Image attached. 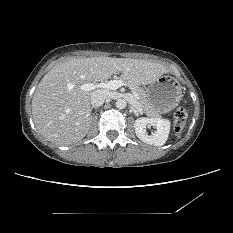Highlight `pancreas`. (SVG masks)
Wrapping results in <instances>:
<instances>
[{
  "label": "pancreas",
  "mask_w": 233,
  "mask_h": 233,
  "mask_svg": "<svg viewBox=\"0 0 233 233\" xmlns=\"http://www.w3.org/2000/svg\"><path fill=\"white\" fill-rule=\"evenodd\" d=\"M123 80V79H122ZM124 85L133 88V90L138 94L137 103L140 107L146 112L148 116L151 117H160L159 113L156 112L147 102L146 92L139 85L123 80Z\"/></svg>",
  "instance_id": "1"
}]
</instances>
